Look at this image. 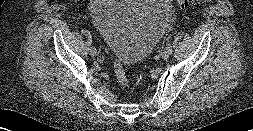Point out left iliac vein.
<instances>
[{
  "instance_id": "4c4485c4",
  "label": "left iliac vein",
  "mask_w": 253,
  "mask_h": 131,
  "mask_svg": "<svg viewBox=\"0 0 253 131\" xmlns=\"http://www.w3.org/2000/svg\"><path fill=\"white\" fill-rule=\"evenodd\" d=\"M172 54V48L166 47L162 53H161V57L162 59L166 60L168 59Z\"/></svg>"
}]
</instances>
